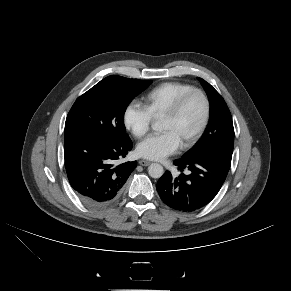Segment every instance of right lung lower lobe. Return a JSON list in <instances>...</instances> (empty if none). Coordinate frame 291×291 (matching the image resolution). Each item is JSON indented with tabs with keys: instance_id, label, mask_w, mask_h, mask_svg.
Here are the masks:
<instances>
[{
	"instance_id": "right-lung-lower-lobe-1",
	"label": "right lung lower lobe",
	"mask_w": 291,
	"mask_h": 291,
	"mask_svg": "<svg viewBox=\"0 0 291 291\" xmlns=\"http://www.w3.org/2000/svg\"><path fill=\"white\" fill-rule=\"evenodd\" d=\"M131 149L129 137L78 134L65 138L67 176L86 205L101 207L118 197L137 165L136 161L118 164Z\"/></svg>"
}]
</instances>
